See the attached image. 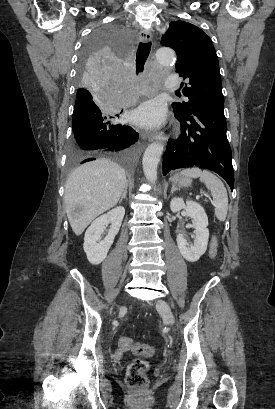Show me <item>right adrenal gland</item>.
Instances as JSON below:
<instances>
[{
  "label": "right adrenal gland",
  "instance_id": "2a0ac1e0",
  "mask_svg": "<svg viewBox=\"0 0 275 409\" xmlns=\"http://www.w3.org/2000/svg\"><path fill=\"white\" fill-rule=\"evenodd\" d=\"M127 188H128V184H125V188L121 194V198L119 200V202H122L123 198H126V194H127Z\"/></svg>",
  "mask_w": 275,
  "mask_h": 409
}]
</instances>
